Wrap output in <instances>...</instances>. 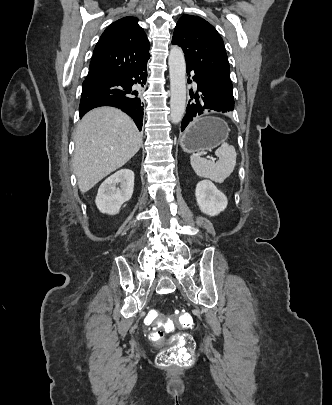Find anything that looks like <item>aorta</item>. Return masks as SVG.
<instances>
[{"mask_svg": "<svg viewBox=\"0 0 332 405\" xmlns=\"http://www.w3.org/2000/svg\"><path fill=\"white\" fill-rule=\"evenodd\" d=\"M170 73V118L178 124L186 110V63L182 49L172 46L168 58Z\"/></svg>", "mask_w": 332, "mask_h": 405, "instance_id": "aorta-1", "label": "aorta"}]
</instances>
